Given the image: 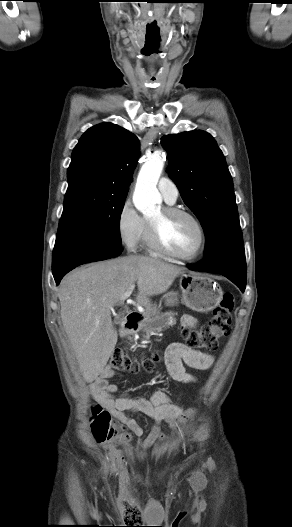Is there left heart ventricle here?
I'll return each mask as SVG.
<instances>
[{
	"label": "left heart ventricle",
	"instance_id": "left-heart-ventricle-1",
	"mask_svg": "<svg viewBox=\"0 0 292 527\" xmlns=\"http://www.w3.org/2000/svg\"><path fill=\"white\" fill-rule=\"evenodd\" d=\"M149 219L160 224L162 240L173 252L189 255L197 248L199 231L190 218L182 215L164 217L161 208L150 215Z\"/></svg>",
	"mask_w": 292,
	"mask_h": 527
}]
</instances>
